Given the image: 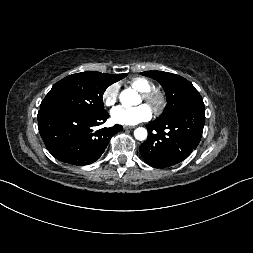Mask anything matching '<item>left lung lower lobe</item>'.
Instances as JSON below:
<instances>
[{"instance_id":"obj_1","label":"left lung lower lobe","mask_w":253,"mask_h":253,"mask_svg":"<svg viewBox=\"0 0 253 253\" xmlns=\"http://www.w3.org/2000/svg\"><path fill=\"white\" fill-rule=\"evenodd\" d=\"M204 123L203 99L169 119L148 123V138L140 145L144 161L155 168H166L183 161L198 146Z\"/></svg>"}]
</instances>
